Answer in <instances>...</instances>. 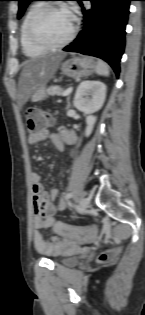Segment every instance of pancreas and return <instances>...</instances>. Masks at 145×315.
I'll return each instance as SVG.
<instances>
[{
	"label": "pancreas",
	"mask_w": 145,
	"mask_h": 315,
	"mask_svg": "<svg viewBox=\"0 0 145 315\" xmlns=\"http://www.w3.org/2000/svg\"><path fill=\"white\" fill-rule=\"evenodd\" d=\"M63 89L60 86H50L45 90L44 97L54 96V95H62Z\"/></svg>",
	"instance_id": "pancreas-1"
}]
</instances>
